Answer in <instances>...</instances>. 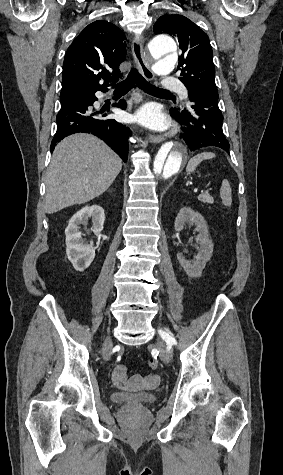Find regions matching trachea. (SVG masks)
<instances>
[{"mask_svg": "<svg viewBox=\"0 0 283 475\" xmlns=\"http://www.w3.org/2000/svg\"><path fill=\"white\" fill-rule=\"evenodd\" d=\"M139 87L147 93L150 94H164L172 95L169 90H163V88H158L147 82L144 77L138 72L136 68H132L129 72V75L123 82L117 83L116 85L112 84L114 92L127 93L131 88Z\"/></svg>", "mask_w": 283, "mask_h": 475, "instance_id": "1", "label": "trachea"}]
</instances>
